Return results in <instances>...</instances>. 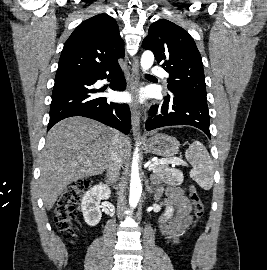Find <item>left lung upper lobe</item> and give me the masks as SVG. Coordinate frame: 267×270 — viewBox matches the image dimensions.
Listing matches in <instances>:
<instances>
[{"instance_id":"5c2ea615","label":"left lung upper lobe","mask_w":267,"mask_h":270,"mask_svg":"<svg viewBox=\"0 0 267 270\" xmlns=\"http://www.w3.org/2000/svg\"><path fill=\"white\" fill-rule=\"evenodd\" d=\"M142 47L151 50L169 73L168 89L173 95L207 101L202 58L187 31L169 20L160 19L149 27Z\"/></svg>"}]
</instances>
